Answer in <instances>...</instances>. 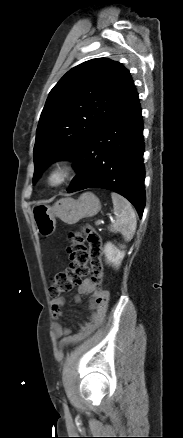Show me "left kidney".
Segmentation results:
<instances>
[{
    "label": "left kidney",
    "instance_id": "left-kidney-1",
    "mask_svg": "<svg viewBox=\"0 0 183 438\" xmlns=\"http://www.w3.org/2000/svg\"><path fill=\"white\" fill-rule=\"evenodd\" d=\"M121 248H124V246H121ZM104 253L107 259V262L110 264H113L116 268H118L121 264V261L123 260L125 256V252L118 249L115 245H113L111 242H108L104 246Z\"/></svg>",
    "mask_w": 183,
    "mask_h": 438
}]
</instances>
